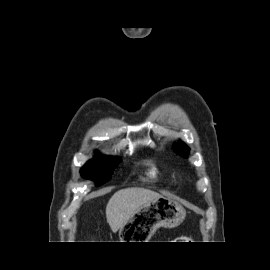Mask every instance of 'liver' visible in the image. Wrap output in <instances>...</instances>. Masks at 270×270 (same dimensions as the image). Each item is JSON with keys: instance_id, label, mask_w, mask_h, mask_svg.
<instances>
[{"instance_id": "obj_1", "label": "liver", "mask_w": 270, "mask_h": 270, "mask_svg": "<svg viewBox=\"0 0 270 270\" xmlns=\"http://www.w3.org/2000/svg\"><path fill=\"white\" fill-rule=\"evenodd\" d=\"M162 197L149 189L131 187L113 194L106 206V219L116 233L147 202Z\"/></svg>"}]
</instances>
